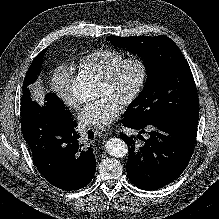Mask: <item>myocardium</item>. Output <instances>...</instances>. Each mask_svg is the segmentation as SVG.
<instances>
[{
    "instance_id": "myocardium-1",
    "label": "myocardium",
    "mask_w": 219,
    "mask_h": 219,
    "mask_svg": "<svg viewBox=\"0 0 219 219\" xmlns=\"http://www.w3.org/2000/svg\"><path fill=\"white\" fill-rule=\"evenodd\" d=\"M131 64L137 66L139 70V76L136 85L131 91V93L121 103V105L124 107L132 105L140 97L141 93L145 88L149 74L148 65L146 61L140 56H131L123 58L116 65L110 68L105 74L100 76L101 80L105 84L110 85L116 80L122 69L127 65Z\"/></svg>"
}]
</instances>
